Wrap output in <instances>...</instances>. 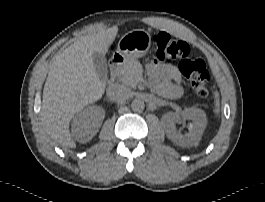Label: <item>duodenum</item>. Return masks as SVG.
I'll use <instances>...</instances> for the list:
<instances>
[{"mask_svg": "<svg viewBox=\"0 0 265 202\" xmlns=\"http://www.w3.org/2000/svg\"><path fill=\"white\" fill-rule=\"evenodd\" d=\"M123 61H124V57L122 54L120 53L113 54L109 62L110 80H112L117 75L118 69Z\"/></svg>", "mask_w": 265, "mask_h": 202, "instance_id": "duodenum-1", "label": "duodenum"}]
</instances>
